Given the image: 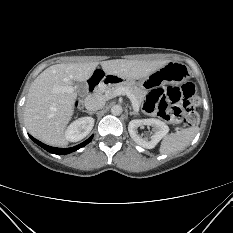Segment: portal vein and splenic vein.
Instances as JSON below:
<instances>
[{
  "label": "portal vein and splenic vein",
  "instance_id": "portal-vein-and-splenic-vein-1",
  "mask_svg": "<svg viewBox=\"0 0 233 233\" xmlns=\"http://www.w3.org/2000/svg\"><path fill=\"white\" fill-rule=\"evenodd\" d=\"M120 95H126L130 99L134 111L135 112L139 111V107L134 104V96H133V94L128 89H126L124 87H119L116 90H114V92L111 95V97H116V96H120Z\"/></svg>",
  "mask_w": 233,
  "mask_h": 233
}]
</instances>
